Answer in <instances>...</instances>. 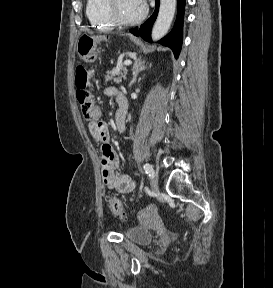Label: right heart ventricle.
Wrapping results in <instances>:
<instances>
[{"instance_id": "obj_1", "label": "right heart ventricle", "mask_w": 273, "mask_h": 288, "mask_svg": "<svg viewBox=\"0 0 273 288\" xmlns=\"http://www.w3.org/2000/svg\"><path fill=\"white\" fill-rule=\"evenodd\" d=\"M104 0H87L86 14L91 25L99 30H110L113 24L105 15Z\"/></svg>"}]
</instances>
